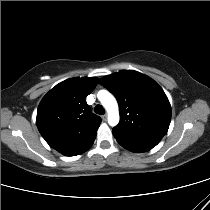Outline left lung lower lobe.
I'll use <instances>...</instances> for the list:
<instances>
[{"label": "left lung lower lobe", "mask_w": 210, "mask_h": 210, "mask_svg": "<svg viewBox=\"0 0 210 210\" xmlns=\"http://www.w3.org/2000/svg\"><path fill=\"white\" fill-rule=\"evenodd\" d=\"M121 146L124 147L125 149L129 150V151H132V152H145V151H147V150H139V149H134V148L126 147L124 145H121Z\"/></svg>", "instance_id": "1"}]
</instances>
